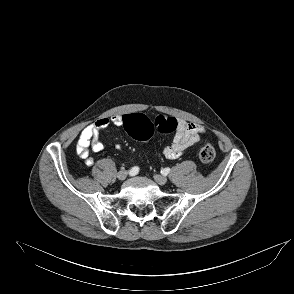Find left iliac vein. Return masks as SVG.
I'll list each match as a JSON object with an SVG mask.
<instances>
[{
	"label": "left iliac vein",
	"mask_w": 294,
	"mask_h": 294,
	"mask_svg": "<svg viewBox=\"0 0 294 294\" xmlns=\"http://www.w3.org/2000/svg\"><path fill=\"white\" fill-rule=\"evenodd\" d=\"M154 180L159 184V185H165L167 183V178L162 175H154Z\"/></svg>",
	"instance_id": "obj_1"
}]
</instances>
